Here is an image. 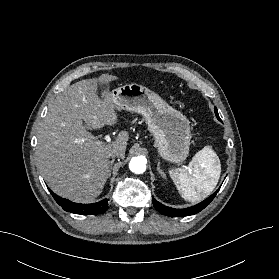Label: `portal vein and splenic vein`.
Here are the masks:
<instances>
[{"instance_id":"obj_1","label":"portal vein and splenic vein","mask_w":279,"mask_h":279,"mask_svg":"<svg viewBox=\"0 0 279 279\" xmlns=\"http://www.w3.org/2000/svg\"><path fill=\"white\" fill-rule=\"evenodd\" d=\"M104 139L106 140V142H110V141H111V138H110L109 135H106V136L104 137ZM99 143H100V142H99Z\"/></svg>"}]
</instances>
